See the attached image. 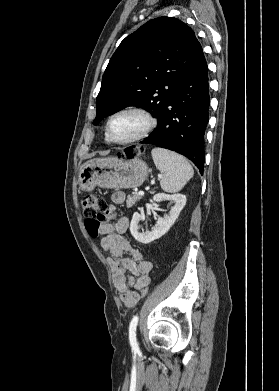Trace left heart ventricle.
I'll list each match as a JSON object with an SVG mask.
<instances>
[{"mask_svg":"<svg viewBox=\"0 0 279 391\" xmlns=\"http://www.w3.org/2000/svg\"><path fill=\"white\" fill-rule=\"evenodd\" d=\"M144 125V119L135 113L116 116L110 124V136L115 140H125L137 133Z\"/></svg>","mask_w":279,"mask_h":391,"instance_id":"obj_1","label":"left heart ventricle"}]
</instances>
